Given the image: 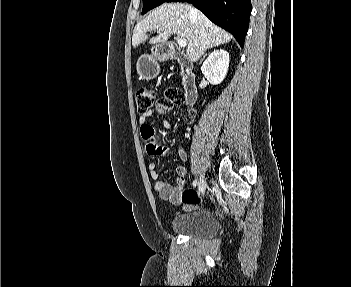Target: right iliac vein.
<instances>
[{
	"mask_svg": "<svg viewBox=\"0 0 351 287\" xmlns=\"http://www.w3.org/2000/svg\"><path fill=\"white\" fill-rule=\"evenodd\" d=\"M206 189V180L205 176L201 175L199 182H198V191L199 193L203 194Z\"/></svg>",
	"mask_w": 351,
	"mask_h": 287,
	"instance_id": "63e3f726",
	"label": "right iliac vein"
}]
</instances>
